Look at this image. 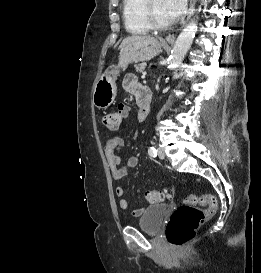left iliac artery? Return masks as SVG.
<instances>
[{
  "mask_svg": "<svg viewBox=\"0 0 261 273\" xmlns=\"http://www.w3.org/2000/svg\"><path fill=\"white\" fill-rule=\"evenodd\" d=\"M148 154L151 157H156L157 156V150L155 149V147H150L149 150H148Z\"/></svg>",
  "mask_w": 261,
  "mask_h": 273,
  "instance_id": "obj_1",
  "label": "left iliac artery"
}]
</instances>
